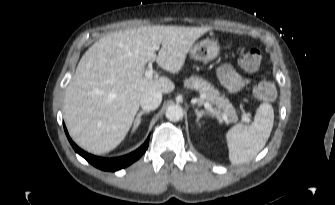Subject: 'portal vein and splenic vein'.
Returning <instances> with one entry per match:
<instances>
[{
	"instance_id": "portal-vein-and-splenic-vein-1",
	"label": "portal vein and splenic vein",
	"mask_w": 335,
	"mask_h": 205,
	"mask_svg": "<svg viewBox=\"0 0 335 205\" xmlns=\"http://www.w3.org/2000/svg\"><path fill=\"white\" fill-rule=\"evenodd\" d=\"M145 77H146L147 79H151V78L154 77V71H153L152 68H149L147 71H145ZM204 107H205L207 110H209V111H211V112H213V113H215V114H219V112H218L217 110H215L214 108H212V106H211L210 103H208V102H205V103H204ZM221 115H222V119H223L225 122H227V121H228L227 115H226L225 113H222ZM241 120H242L244 123H246V124H249V123L251 122V121H250V118L247 116V114L242 115V116H241Z\"/></svg>"
}]
</instances>
